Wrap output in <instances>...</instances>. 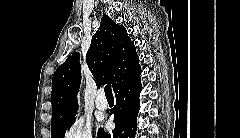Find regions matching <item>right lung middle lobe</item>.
<instances>
[{"instance_id": "right-lung-middle-lobe-1", "label": "right lung middle lobe", "mask_w": 240, "mask_h": 138, "mask_svg": "<svg viewBox=\"0 0 240 138\" xmlns=\"http://www.w3.org/2000/svg\"><path fill=\"white\" fill-rule=\"evenodd\" d=\"M76 118H73L69 121L59 123L51 126V138H64L66 129L71 127Z\"/></svg>"}]
</instances>
